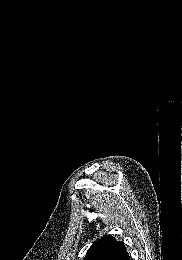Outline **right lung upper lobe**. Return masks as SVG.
<instances>
[{"mask_svg": "<svg viewBox=\"0 0 182 260\" xmlns=\"http://www.w3.org/2000/svg\"><path fill=\"white\" fill-rule=\"evenodd\" d=\"M84 260H130V258L122 242L111 235H106L92 244Z\"/></svg>", "mask_w": 182, "mask_h": 260, "instance_id": "obj_1", "label": "right lung upper lobe"}]
</instances>
